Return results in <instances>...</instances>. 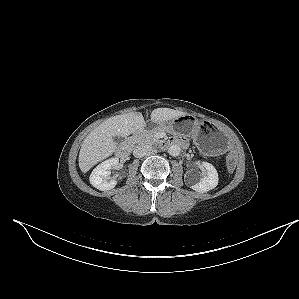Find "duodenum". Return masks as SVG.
I'll list each match as a JSON object with an SVG mask.
<instances>
[{
    "mask_svg": "<svg viewBox=\"0 0 299 299\" xmlns=\"http://www.w3.org/2000/svg\"><path fill=\"white\" fill-rule=\"evenodd\" d=\"M174 144L184 145V141L179 138H172L170 140H164L160 143V145L162 147H168V146H171ZM131 149H132V143L130 141H126L122 145L119 146V148L117 150V155L120 158H126L129 156Z\"/></svg>",
    "mask_w": 299,
    "mask_h": 299,
    "instance_id": "410a0bca",
    "label": "duodenum"
}]
</instances>
